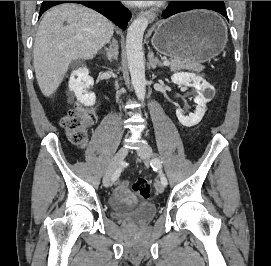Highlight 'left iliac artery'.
Listing matches in <instances>:
<instances>
[{"instance_id":"1","label":"left iliac artery","mask_w":271,"mask_h":266,"mask_svg":"<svg viewBox=\"0 0 271 266\" xmlns=\"http://www.w3.org/2000/svg\"><path fill=\"white\" fill-rule=\"evenodd\" d=\"M150 165L152 166V168H153L154 170H156V171L159 172L160 177H161V182H162V184H163L164 186H166V185L168 184V182H167V179H166L165 175H164L163 172H162V163H161L160 159H159V158L153 159V160L151 161Z\"/></svg>"}]
</instances>
